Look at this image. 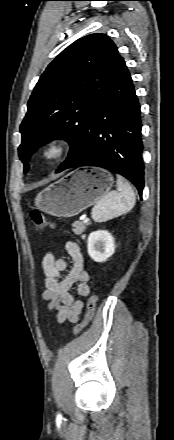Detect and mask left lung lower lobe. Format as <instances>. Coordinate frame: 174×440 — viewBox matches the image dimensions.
<instances>
[{"label":"left lung lower lobe","instance_id":"obj_1","mask_svg":"<svg viewBox=\"0 0 174 440\" xmlns=\"http://www.w3.org/2000/svg\"><path fill=\"white\" fill-rule=\"evenodd\" d=\"M140 114L131 76L120 58L104 91L89 110L80 152L61 171L80 166L102 167L129 179L142 196Z\"/></svg>","mask_w":174,"mask_h":440}]
</instances>
